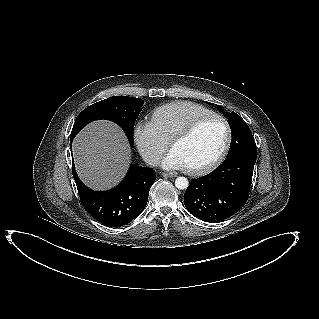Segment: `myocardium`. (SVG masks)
<instances>
[{
    "mask_svg": "<svg viewBox=\"0 0 319 319\" xmlns=\"http://www.w3.org/2000/svg\"><path fill=\"white\" fill-rule=\"evenodd\" d=\"M211 119H217L223 123L226 130V137H225L224 144L220 152L217 154V156L208 164L204 166H200V167H184V170L190 175H204L206 173H209L212 170H214L216 167H218L222 163L224 158L226 157L228 150L230 148L231 140H232V130L227 119L216 113L197 117L193 119L191 122H189L178 133H176L169 142V147L172 150V148L177 143L187 139L200 124Z\"/></svg>",
    "mask_w": 319,
    "mask_h": 319,
    "instance_id": "f54148a6",
    "label": "myocardium"
}]
</instances>
